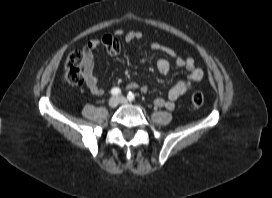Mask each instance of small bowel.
Listing matches in <instances>:
<instances>
[{"instance_id": "c3829d8e", "label": "small bowel", "mask_w": 272, "mask_h": 198, "mask_svg": "<svg viewBox=\"0 0 272 198\" xmlns=\"http://www.w3.org/2000/svg\"><path fill=\"white\" fill-rule=\"evenodd\" d=\"M143 33L141 31H125L121 28L116 29L112 34L103 35L100 38L89 40L84 46V60H85V79L86 85L93 95L101 96L104 89L99 85L98 79L94 72L95 56L94 51L97 47H103L110 55H117L120 52V42L118 38H123L126 42L141 39ZM150 47L153 50L161 51L174 60L176 66L185 68L188 72V78L176 83L167 92L166 99L157 98L154 103L158 107H164L168 110L175 108L176 100L189 92L194 82L200 81L204 72L201 68L195 66V60L192 57H182L174 49L163 47L159 44L152 43ZM157 70L161 74L168 73L170 69V62L166 58H160L156 62ZM128 89L139 90L143 93L148 91V86L137 82H130L127 85Z\"/></svg>"}]
</instances>
